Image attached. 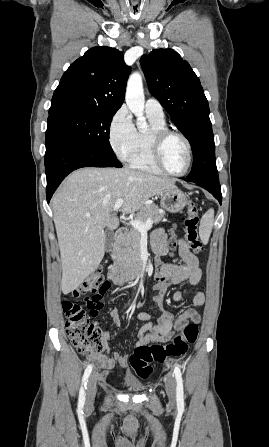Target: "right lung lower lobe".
Here are the masks:
<instances>
[{"label":"right lung lower lobe","instance_id":"right-lung-lower-lobe-1","mask_svg":"<svg viewBox=\"0 0 269 447\" xmlns=\"http://www.w3.org/2000/svg\"><path fill=\"white\" fill-rule=\"evenodd\" d=\"M82 167H122L115 154H109L63 135L46 131V197L49 203L62 180Z\"/></svg>","mask_w":269,"mask_h":447}]
</instances>
